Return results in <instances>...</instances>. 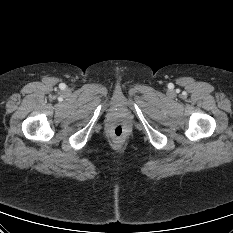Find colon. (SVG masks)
Instances as JSON below:
<instances>
[{
    "label": "colon",
    "instance_id": "1",
    "mask_svg": "<svg viewBox=\"0 0 233 233\" xmlns=\"http://www.w3.org/2000/svg\"><path fill=\"white\" fill-rule=\"evenodd\" d=\"M125 127L122 124H116L113 128V134L117 137H120L124 134Z\"/></svg>",
    "mask_w": 233,
    "mask_h": 233
}]
</instances>
